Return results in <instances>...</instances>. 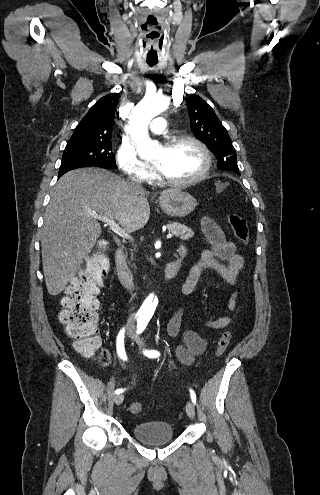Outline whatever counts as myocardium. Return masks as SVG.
Segmentation results:
<instances>
[{"label": "myocardium", "instance_id": "1", "mask_svg": "<svg viewBox=\"0 0 320 495\" xmlns=\"http://www.w3.org/2000/svg\"><path fill=\"white\" fill-rule=\"evenodd\" d=\"M181 143H191L198 148V150L202 154L203 161H204L202 170L198 174H196L195 176L188 178V179H183V180H176V179L169 178V177L165 176L159 170L160 179L164 183L172 185V186L194 185V184L200 182L201 180H203L208 175V173L211 169V166H212V158H211V155H210L208 148L200 140H198L197 138H195L193 136H189V135L173 136L165 142L164 147L170 148V147L176 146V145L181 144Z\"/></svg>", "mask_w": 320, "mask_h": 495}]
</instances>
